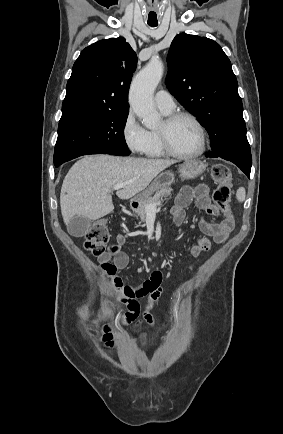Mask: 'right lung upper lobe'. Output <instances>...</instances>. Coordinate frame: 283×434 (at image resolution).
<instances>
[{
  "mask_svg": "<svg viewBox=\"0 0 283 434\" xmlns=\"http://www.w3.org/2000/svg\"><path fill=\"white\" fill-rule=\"evenodd\" d=\"M136 53L123 37L100 40L81 51L67 82L62 117L129 110Z\"/></svg>",
  "mask_w": 283,
  "mask_h": 434,
  "instance_id": "obj_1",
  "label": "right lung upper lobe"
}]
</instances>
